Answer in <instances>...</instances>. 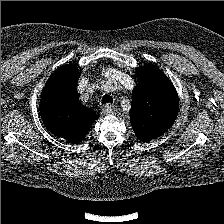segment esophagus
<instances>
[{
  "instance_id": "1",
  "label": "esophagus",
  "mask_w": 224,
  "mask_h": 224,
  "mask_svg": "<svg viewBox=\"0 0 224 224\" xmlns=\"http://www.w3.org/2000/svg\"><path fill=\"white\" fill-rule=\"evenodd\" d=\"M115 112V107L113 105H106L102 111L104 115H112Z\"/></svg>"
}]
</instances>
